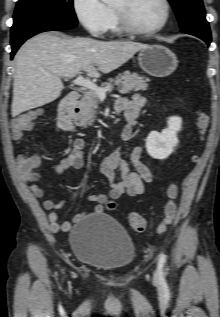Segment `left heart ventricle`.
Returning <instances> with one entry per match:
<instances>
[{
	"label": "left heart ventricle",
	"instance_id": "b2bd125f",
	"mask_svg": "<svg viewBox=\"0 0 220 317\" xmlns=\"http://www.w3.org/2000/svg\"><path fill=\"white\" fill-rule=\"evenodd\" d=\"M113 7L124 10L131 24L141 30L158 26L165 14L161 0H115Z\"/></svg>",
	"mask_w": 220,
	"mask_h": 317
}]
</instances>
